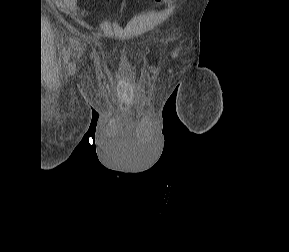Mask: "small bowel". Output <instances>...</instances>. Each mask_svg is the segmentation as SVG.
Returning a JSON list of instances; mask_svg holds the SVG:
<instances>
[{
	"instance_id": "small-bowel-1",
	"label": "small bowel",
	"mask_w": 289,
	"mask_h": 252,
	"mask_svg": "<svg viewBox=\"0 0 289 252\" xmlns=\"http://www.w3.org/2000/svg\"><path fill=\"white\" fill-rule=\"evenodd\" d=\"M78 0H64L65 5L71 10L76 11Z\"/></svg>"
}]
</instances>
